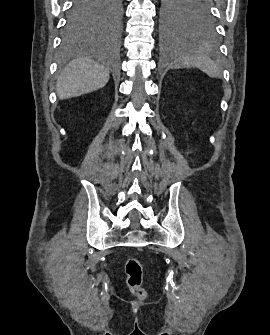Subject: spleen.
<instances>
[{
    "label": "spleen",
    "instance_id": "1",
    "mask_svg": "<svg viewBox=\"0 0 270 335\" xmlns=\"http://www.w3.org/2000/svg\"><path fill=\"white\" fill-rule=\"evenodd\" d=\"M176 66H184V68H190V66H196L202 72H205L210 78H216L221 74V68L219 64H215L211 58H208L206 54H203L196 44H189L181 42L176 50V60L174 62Z\"/></svg>",
    "mask_w": 270,
    "mask_h": 335
}]
</instances>
